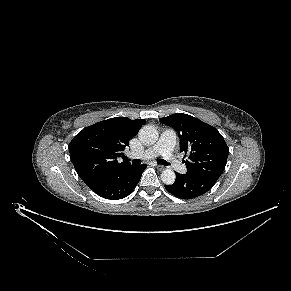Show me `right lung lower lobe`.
Returning a JSON list of instances; mask_svg holds the SVG:
<instances>
[{"instance_id": "98d812e1", "label": "right lung lower lobe", "mask_w": 291, "mask_h": 291, "mask_svg": "<svg viewBox=\"0 0 291 291\" xmlns=\"http://www.w3.org/2000/svg\"><path fill=\"white\" fill-rule=\"evenodd\" d=\"M146 165L131 166L114 173L100 175L89 182L88 187L106 199H122L128 196L138 184Z\"/></svg>"}]
</instances>
